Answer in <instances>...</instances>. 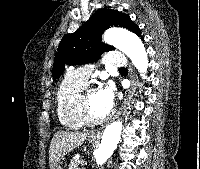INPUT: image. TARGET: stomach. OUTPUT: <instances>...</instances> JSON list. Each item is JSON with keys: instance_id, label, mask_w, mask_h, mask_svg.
<instances>
[{"instance_id": "1", "label": "stomach", "mask_w": 200, "mask_h": 169, "mask_svg": "<svg viewBox=\"0 0 200 169\" xmlns=\"http://www.w3.org/2000/svg\"><path fill=\"white\" fill-rule=\"evenodd\" d=\"M95 141H96L95 139L89 137V142L94 143ZM53 169H63V168L60 166V164H58V165H57L56 167H54Z\"/></svg>"}]
</instances>
